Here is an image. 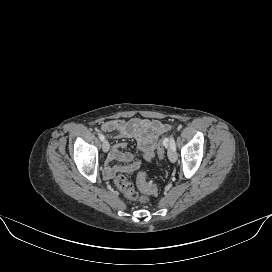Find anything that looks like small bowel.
I'll return each instance as SVG.
<instances>
[{"mask_svg": "<svg viewBox=\"0 0 272 272\" xmlns=\"http://www.w3.org/2000/svg\"><path fill=\"white\" fill-rule=\"evenodd\" d=\"M105 132H115L120 138H133L137 142L140 157L146 163H151L159 138L171 129V126L159 120L132 118L129 120H110L101 125ZM125 144L114 145L110 159L129 161L133 155L125 151ZM139 161L134 163L137 166ZM113 172L110 170L109 175Z\"/></svg>", "mask_w": 272, "mask_h": 272, "instance_id": "c3829d8e", "label": "small bowel"}]
</instances>
